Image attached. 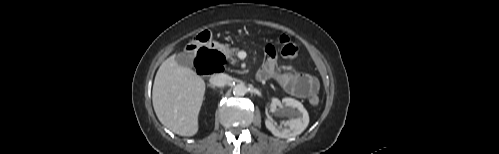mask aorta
<instances>
[{
  "label": "aorta",
  "instance_id": "762f6f07",
  "mask_svg": "<svg viewBox=\"0 0 499 154\" xmlns=\"http://www.w3.org/2000/svg\"><path fill=\"white\" fill-rule=\"evenodd\" d=\"M247 92L246 86L244 84H237L233 88V94L235 96H244Z\"/></svg>",
  "mask_w": 499,
  "mask_h": 154
}]
</instances>
